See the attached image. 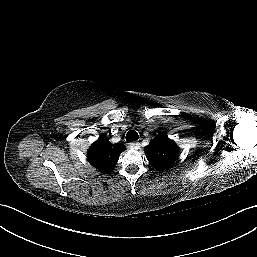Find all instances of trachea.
Segmentation results:
<instances>
[{
  "label": "trachea",
  "mask_w": 257,
  "mask_h": 257,
  "mask_svg": "<svg viewBox=\"0 0 257 257\" xmlns=\"http://www.w3.org/2000/svg\"><path fill=\"white\" fill-rule=\"evenodd\" d=\"M138 138H139V135L135 130H130L126 134V141L127 142L136 141V140H138Z\"/></svg>",
  "instance_id": "obj_1"
}]
</instances>
